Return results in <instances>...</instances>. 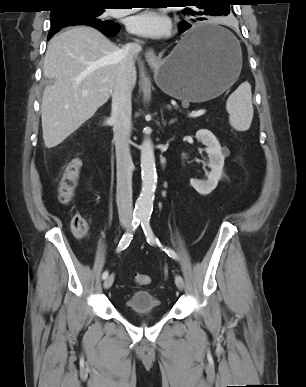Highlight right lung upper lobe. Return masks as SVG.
<instances>
[{
    "instance_id": "1",
    "label": "right lung upper lobe",
    "mask_w": 306,
    "mask_h": 387,
    "mask_svg": "<svg viewBox=\"0 0 306 387\" xmlns=\"http://www.w3.org/2000/svg\"><path fill=\"white\" fill-rule=\"evenodd\" d=\"M110 0H56L57 9L51 12L61 11L62 8L73 6H97L105 7L110 4Z\"/></svg>"
}]
</instances>
